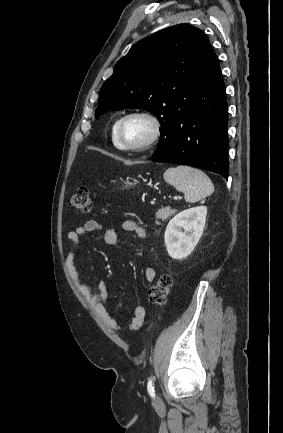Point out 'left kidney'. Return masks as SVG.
<instances>
[{
	"label": "left kidney",
	"mask_w": 283,
	"mask_h": 433,
	"mask_svg": "<svg viewBox=\"0 0 283 433\" xmlns=\"http://www.w3.org/2000/svg\"><path fill=\"white\" fill-rule=\"evenodd\" d=\"M207 207L198 206L181 211L168 223L164 241L173 259L186 258L202 236L206 222Z\"/></svg>",
	"instance_id": "1"
}]
</instances>
